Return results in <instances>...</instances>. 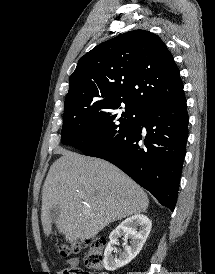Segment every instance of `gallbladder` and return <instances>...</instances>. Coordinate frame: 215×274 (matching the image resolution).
I'll return each mask as SVG.
<instances>
[{
  "label": "gallbladder",
  "instance_id": "gallbladder-1",
  "mask_svg": "<svg viewBox=\"0 0 215 274\" xmlns=\"http://www.w3.org/2000/svg\"><path fill=\"white\" fill-rule=\"evenodd\" d=\"M59 215H60V208L58 206L55 205L49 210V216L53 223L57 221Z\"/></svg>",
  "mask_w": 215,
  "mask_h": 274
}]
</instances>
